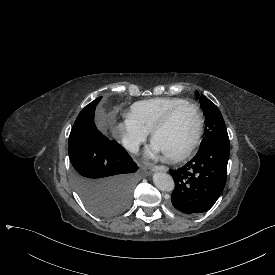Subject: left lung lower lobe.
I'll use <instances>...</instances> for the list:
<instances>
[{"label":"left lung lower lobe","instance_id":"left-lung-lower-lobe-1","mask_svg":"<svg viewBox=\"0 0 275 275\" xmlns=\"http://www.w3.org/2000/svg\"><path fill=\"white\" fill-rule=\"evenodd\" d=\"M229 152V141L212 143L183 167L169 170L175 182L171 202L176 211L195 215L215 204L225 187Z\"/></svg>","mask_w":275,"mask_h":275}]
</instances>
